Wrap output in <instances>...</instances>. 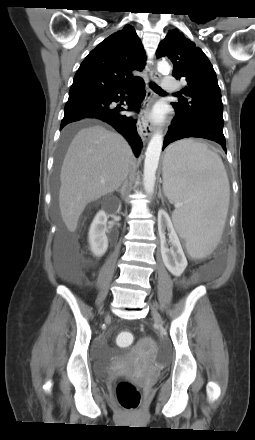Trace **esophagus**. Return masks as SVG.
Instances as JSON below:
<instances>
[{"mask_svg":"<svg viewBox=\"0 0 255 440\" xmlns=\"http://www.w3.org/2000/svg\"><path fill=\"white\" fill-rule=\"evenodd\" d=\"M149 75L153 81H158L160 79V74L154 69L152 65L149 64ZM147 100L144 101L140 107V112L137 120V130L143 141L150 138L155 130L153 123L147 118V113L149 110V103L154 98V94L150 89L147 90L146 94Z\"/></svg>","mask_w":255,"mask_h":440,"instance_id":"1","label":"esophagus"}]
</instances>
